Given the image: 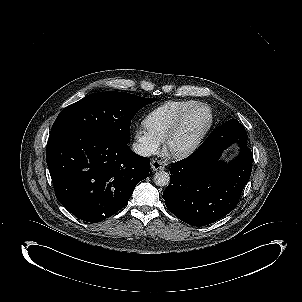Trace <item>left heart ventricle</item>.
Returning <instances> with one entry per match:
<instances>
[{
	"label": "left heart ventricle",
	"mask_w": 302,
	"mask_h": 302,
	"mask_svg": "<svg viewBox=\"0 0 302 302\" xmlns=\"http://www.w3.org/2000/svg\"><path fill=\"white\" fill-rule=\"evenodd\" d=\"M207 120V112L197 110L189 115L181 124L171 140L173 148H182L188 145L199 134Z\"/></svg>",
	"instance_id": "left-heart-ventricle-1"
}]
</instances>
